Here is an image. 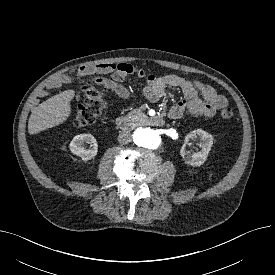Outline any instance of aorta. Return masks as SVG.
<instances>
[{"mask_svg":"<svg viewBox=\"0 0 275 275\" xmlns=\"http://www.w3.org/2000/svg\"><path fill=\"white\" fill-rule=\"evenodd\" d=\"M133 139L138 146L146 149H157L160 145L159 136L150 128H137L133 134Z\"/></svg>","mask_w":275,"mask_h":275,"instance_id":"1","label":"aorta"}]
</instances>
